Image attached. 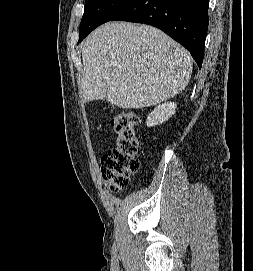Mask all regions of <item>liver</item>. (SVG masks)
<instances>
[{
  "mask_svg": "<svg viewBox=\"0 0 253 271\" xmlns=\"http://www.w3.org/2000/svg\"><path fill=\"white\" fill-rule=\"evenodd\" d=\"M84 102L106 100L140 109L185 89L192 74L188 52L149 25L108 22L95 29L82 48Z\"/></svg>",
  "mask_w": 253,
  "mask_h": 271,
  "instance_id": "6515ba94",
  "label": "liver"
}]
</instances>
